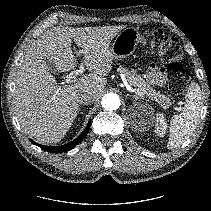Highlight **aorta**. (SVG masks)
<instances>
[{"label": "aorta", "instance_id": "762f6f07", "mask_svg": "<svg viewBox=\"0 0 211 211\" xmlns=\"http://www.w3.org/2000/svg\"><path fill=\"white\" fill-rule=\"evenodd\" d=\"M101 104L105 110H117L121 102L117 94L108 93L103 96Z\"/></svg>", "mask_w": 211, "mask_h": 211}]
</instances>
